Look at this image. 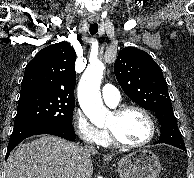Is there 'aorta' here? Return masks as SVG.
Here are the masks:
<instances>
[{
  "label": "aorta",
  "mask_w": 194,
  "mask_h": 178,
  "mask_svg": "<svg viewBox=\"0 0 194 178\" xmlns=\"http://www.w3.org/2000/svg\"><path fill=\"white\" fill-rule=\"evenodd\" d=\"M105 67L101 61L90 63L78 86V100L81 109L94 124L103 123L108 110L103 106L99 91Z\"/></svg>",
  "instance_id": "762f6f07"
}]
</instances>
